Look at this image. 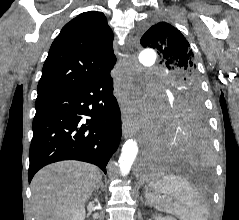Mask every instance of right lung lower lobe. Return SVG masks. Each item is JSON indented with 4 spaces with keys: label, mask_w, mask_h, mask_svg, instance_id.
Instances as JSON below:
<instances>
[{
    "label": "right lung lower lobe",
    "mask_w": 239,
    "mask_h": 220,
    "mask_svg": "<svg viewBox=\"0 0 239 220\" xmlns=\"http://www.w3.org/2000/svg\"><path fill=\"white\" fill-rule=\"evenodd\" d=\"M110 71L83 87L36 99L29 182L43 166L69 159L95 164L106 173L121 139Z\"/></svg>",
    "instance_id": "98d812e1"
}]
</instances>
